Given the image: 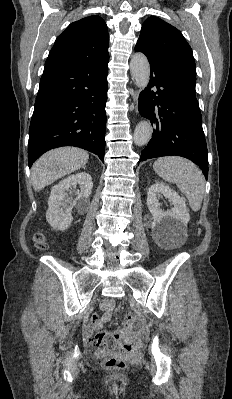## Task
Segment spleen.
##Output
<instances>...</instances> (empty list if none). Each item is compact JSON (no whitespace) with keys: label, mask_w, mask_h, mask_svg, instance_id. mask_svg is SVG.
<instances>
[{"label":"spleen","mask_w":232,"mask_h":399,"mask_svg":"<svg viewBox=\"0 0 232 399\" xmlns=\"http://www.w3.org/2000/svg\"><path fill=\"white\" fill-rule=\"evenodd\" d=\"M153 170L165 182L176 184L180 192L189 200L191 209L199 211L205 192V180L198 166L185 158L169 156V158L156 160Z\"/></svg>","instance_id":"spleen-1"}]
</instances>
